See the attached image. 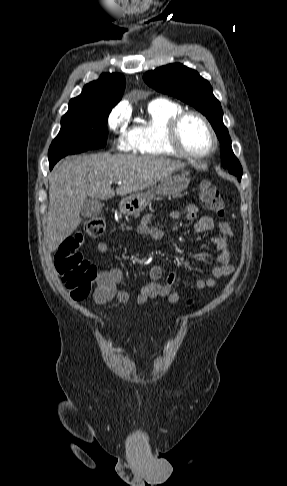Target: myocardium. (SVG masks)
<instances>
[{"mask_svg":"<svg viewBox=\"0 0 287 486\" xmlns=\"http://www.w3.org/2000/svg\"><path fill=\"white\" fill-rule=\"evenodd\" d=\"M189 117H196L198 118L203 125L206 127L210 137H211V147L205 151V152H192L186 149L180 139V129L183 124V122L189 118ZM167 142L169 146L179 155H182L187 158H193V159H201V158H206L211 156L218 147V137L216 135V132L214 128L212 127L210 121L207 119L205 115H203L201 112L195 111V110H186L182 111L179 114H177L175 117L171 119V121L168 124L167 127Z\"/></svg>","mask_w":287,"mask_h":486,"instance_id":"1","label":"myocardium"}]
</instances>
